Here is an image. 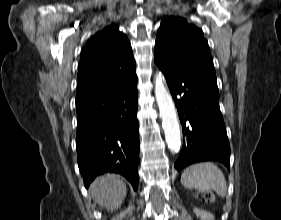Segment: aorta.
<instances>
[{
	"label": "aorta",
	"mask_w": 281,
	"mask_h": 220,
	"mask_svg": "<svg viewBox=\"0 0 281 220\" xmlns=\"http://www.w3.org/2000/svg\"><path fill=\"white\" fill-rule=\"evenodd\" d=\"M154 92L166 142L171 151L177 152L181 145L178 116L172 96L164 85L161 73L156 75Z\"/></svg>",
	"instance_id": "obj_1"
}]
</instances>
